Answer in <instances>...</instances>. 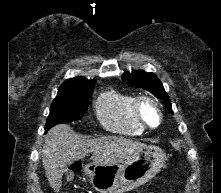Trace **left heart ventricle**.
Listing matches in <instances>:
<instances>
[{
    "mask_svg": "<svg viewBox=\"0 0 221 193\" xmlns=\"http://www.w3.org/2000/svg\"><path fill=\"white\" fill-rule=\"evenodd\" d=\"M144 115L147 118V120L152 124H155L158 120L157 112H156L155 108L151 105H147L145 107Z\"/></svg>",
    "mask_w": 221,
    "mask_h": 193,
    "instance_id": "b2bd125f",
    "label": "left heart ventricle"
}]
</instances>
